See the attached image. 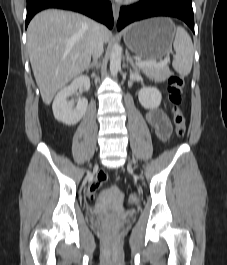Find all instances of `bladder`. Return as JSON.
<instances>
[{
  "instance_id": "bladder-1",
  "label": "bladder",
  "mask_w": 227,
  "mask_h": 265,
  "mask_svg": "<svg viewBox=\"0 0 227 265\" xmlns=\"http://www.w3.org/2000/svg\"><path fill=\"white\" fill-rule=\"evenodd\" d=\"M107 195H108V197H115L116 193L114 190L110 189V190H108Z\"/></svg>"
}]
</instances>
